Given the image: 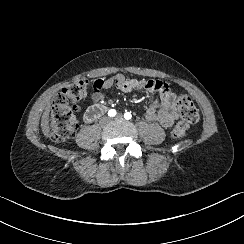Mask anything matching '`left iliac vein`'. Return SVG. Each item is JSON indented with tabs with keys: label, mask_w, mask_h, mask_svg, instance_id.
I'll return each instance as SVG.
<instances>
[{
	"label": "left iliac vein",
	"mask_w": 244,
	"mask_h": 244,
	"mask_svg": "<svg viewBox=\"0 0 244 244\" xmlns=\"http://www.w3.org/2000/svg\"><path fill=\"white\" fill-rule=\"evenodd\" d=\"M122 119V115L118 114L116 117L112 118L111 120H121Z\"/></svg>",
	"instance_id": "4c4485c4"
}]
</instances>
